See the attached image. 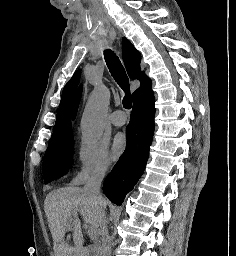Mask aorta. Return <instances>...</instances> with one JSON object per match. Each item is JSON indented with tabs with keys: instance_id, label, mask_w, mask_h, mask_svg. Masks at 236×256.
<instances>
[{
	"instance_id": "762f6f07",
	"label": "aorta",
	"mask_w": 236,
	"mask_h": 256,
	"mask_svg": "<svg viewBox=\"0 0 236 256\" xmlns=\"http://www.w3.org/2000/svg\"><path fill=\"white\" fill-rule=\"evenodd\" d=\"M110 92L105 85H98L88 100L81 119L82 138L88 142L99 140L103 134Z\"/></svg>"
}]
</instances>
